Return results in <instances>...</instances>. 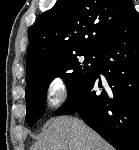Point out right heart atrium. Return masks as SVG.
<instances>
[{"label": "right heart atrium", "instance_id": "1", "mask_svg": "<svg viewBox=\"0 0 139 150\" xmlns=\"http://www.w3.org/2000/svg\"><path fill=\"white\" fill-rule=\"evenodd\" d=\"M46 93L48 106L50 108H58L66 95L64 80L59 76L52 78L47 85Z\"/></svg>", "mask_w": 139, "mask_h": 150}]
</instances>
